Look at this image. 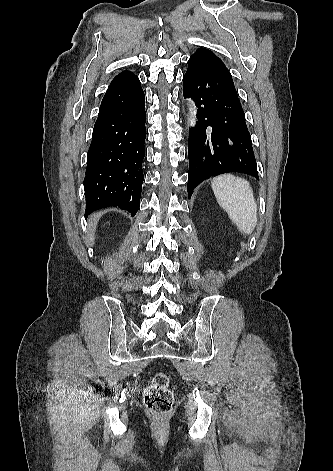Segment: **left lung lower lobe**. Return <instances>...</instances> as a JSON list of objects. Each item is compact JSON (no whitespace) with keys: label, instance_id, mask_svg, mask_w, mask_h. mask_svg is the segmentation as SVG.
I'll use <instances>...</instances> for the list:
<instances>
[{"label":"left lung lower lobe","instance_id":"1","mask_svg":"<svg viewBox=\"0 0 333 471\" xmlns=\"http://www.w3.org/2000/svg\"><path fill=\"white\" fill-rule=\"evenodd\" d=\"M183 94L198 108V121L189 132L188 196L200 181L224 172L259 179L251 135L229 72L211 55L195 52L188 60Z\"/></svg>","mask_w":333,"mask_h":471}]
</instances>
